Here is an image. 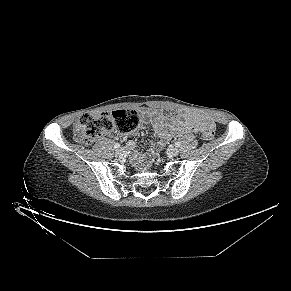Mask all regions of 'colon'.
Listing matches in <instances>:
<instances>
[{
  "label": "colon",
  "instance_id": "5ec220e1",
  "mask_svg": "<svg viewBox=\"0 0 291 291\" xmlns=\"http://www.w3.org/2000/svg\"><path fill=\"white\" fill-rule=\"evenodd\" d=\"M139 122L140 117L134 110L87 113L76 121L74 133L81 143L90 145L110 132L130 133L138 127ZM202 135L207 140L213 139L215 127L208 126L202 131Z\"/></svg>",
  "mask_w": 291,
  "mask_h": 291
}]
</instances>
